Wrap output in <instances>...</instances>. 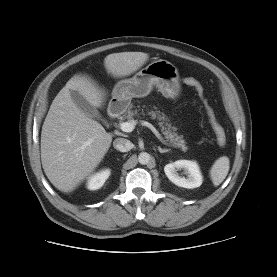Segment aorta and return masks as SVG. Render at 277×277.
Wrapping results in <instances>:
<instances>
[{
    "instance_id": "aorta-1",
    "label": "aorta",
    "mask_w": 277,
    "mask_h": 277,
    "mask_svg": "<svg viewBox=\"0 0 277 277\" xmlns=\"http://www.w3.org/2000/svg\"><path fill=\"white\" fill-rule=\"evenodd\" d=\"M150 154H148L147 152H141L139 155H138V161L140 164L142 165H146L149 163L150 161Z\"/></svg>"
}]
</instances>
